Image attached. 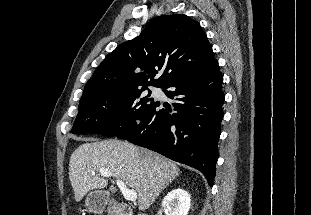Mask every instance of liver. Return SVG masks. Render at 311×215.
Returning a JSON list of instances; mask_svg holds the SVG:
<instances>
[{"label": "liver", "instance_id": "6515ba94", "mask_svg": "<svg viewBox=\"0 0 311 215\" xmlns=\"http://www.w3.org/2000/svg\"><path fill=\"white\" fill-rule=\"evenodd\" d=\"M71 155L69 180L79 202L91 190L103 189L108 179L100 177L107 169L137 193L139 210H147L159 193L179 175L177 165L150 150L117 139H85ZM112 193L116 192L110 186Z\"/></svg>", "mask_w": 311, "mask_h": 215}]
</instances>
